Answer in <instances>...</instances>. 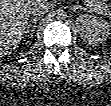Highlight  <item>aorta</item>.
<instances>
[{
    "label": "aorta",
    "instance_id": "1",
    "mask_svg": "<svg viewBox=\"0 0 111 106\" xmlns=\"http://www.w3.org/2000/svg\"><path fill=\"white\" fill-rule=\"evenodd\" d=\"M66 17H67V14L64 10H58V12H57L58 19L64 20V19H66Z\"/></svg>",
    "mask_w": 111,
    "mask_h": 106
}]
</instances>
